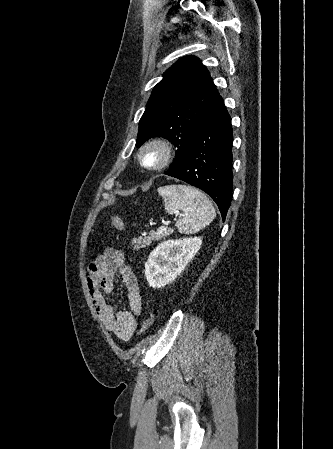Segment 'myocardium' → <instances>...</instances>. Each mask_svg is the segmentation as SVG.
<instances>
[{
  "label": "myocardium",
  "instance_id": "myocardium-1",
  "mask_svg": "<svg viewBox=\"0 0 333 449\" xmlns=\"http://www.w3.org/2000/svg\"><path fill=\"white\" fill-rule=\"evenodd\" d=\"M149 153L155 155L154 162H147L145 156ZM172 157V146L163 138H153L146 141L138 150L137 160L141 167L149 171H160L165 168Z\"/></svg>",
  "mask_w": 333,
  "mask_h": 449
}]
</instances>
